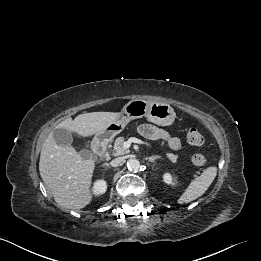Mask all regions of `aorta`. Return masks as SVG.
<instances>
[{
    "label": "aorta",
    "instance_id": "1",
    "mask_svg": "<svg viewBox=\"0 0 261 261\" xmlns=\"http://www.w3.org/2000/svg\"><path fill=\"white\" fill-rule=\"evenodd\" d=\"M127 167L131 171H138L140 169V162L135 158L127 160Z\"/></svg>",
    "mask_w": 261,
    "mask_h": 261
}]
</instances>
